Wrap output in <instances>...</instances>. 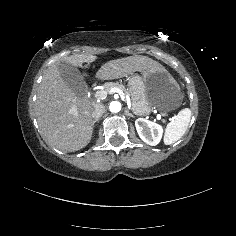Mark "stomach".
<instances>
[{
	"mask_svg": "<svg viewBox=\"0 0 236 236\" xmlns=\"http://www.w3.org/2000/svg\"><path fill=\"white\" fill-rule=\"evenodd\" d=\"M127 83L132 110L136 115H148L153 107L170 111L182 102L183 95L177 88L175 79L165 71L148 73L145 78L138 73H132Z\"/></svg>",
	"mask_w": 236,
	"mask_h": 236,
	"instance_id": "1",
	"label": "stomach"
}]
</instances>
